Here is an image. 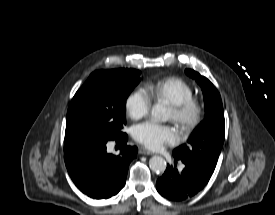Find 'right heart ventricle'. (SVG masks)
<instances>
[{"instance_id": "obj_1", "label": "right heart ventricle", "mask_w": 275, "mask_h": 215, "mask_svg": "<svg viewBox=\"0 0 275 215\" xmlns=\"http://www.w3.org/2000/svg\"><path fill=\"white\" fill-rule=\"evenodd\" d=\"M147 94L154 101H165L170 105L193 98L191 86L183 79L170 76L147 85Z\"/></svg>"}]
</instances>
